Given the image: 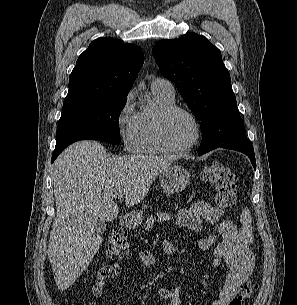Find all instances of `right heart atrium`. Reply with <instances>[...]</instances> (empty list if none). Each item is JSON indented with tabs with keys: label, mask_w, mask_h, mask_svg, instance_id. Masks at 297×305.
<instances>
[{
	"label": "right heart atrium",
	"mask_w": 297,
	"mask_h": 305,
	"mask_svg": "<svg viewBox=\"0 0 297 305\" xmlns=\"http://www.w3.org/2000/svg\"><path fill=\"white\" fill-rule=\"evenodd\" d=\"M117 128L121 141L127 150H133L139 126V113L134 105V93L130 91L124 98L117 113Z\"/></svg>",
	"instance_id": "d8ad5b80"
}]
</instances>
